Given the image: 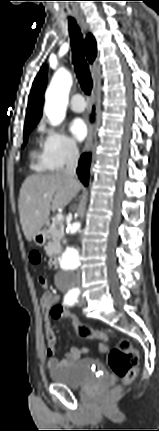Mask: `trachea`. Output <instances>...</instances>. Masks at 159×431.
Returning a JSON list of instances; mask_svg holds the SVG:
<instances>
[{
  "label": "trachea",
  "mask_w": 159,
  "mask_h": 431,
  "mask_svg": "<svg viewBox=\"0 0 159 431\" xmlns=\"http://www.w3.org/2000/svg\"><path fill=\"white\" fill-rule=\"evenodd\" d=\"M69 32L72 47V61L76 76L84 93L90 95L93 82L89 71V65L85 59L83 36L73 18H69Z\"/></svg>",
  "instance_id": "trachea-1"
}]
</instances>
